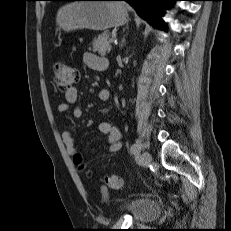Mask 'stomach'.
Here are the masks:
<instances>
[{
	"mask_svg": "<svg viewBox=\"0 0 231 231\" xmlns=\"http://www.w3.org/2000/svg\"><path fill=\"white\" fill-rule=\"evenodd\" d=\"M128 13L124 3L115 0H79L61 7L56 24L64 31L89 29L105 31L122 26Z\"/></svg>",
	"mask_w": 231,
	"mask_h": 231,
	"instance_id": "stomach-1",
	"label": "stomach"
}]
</instances>
